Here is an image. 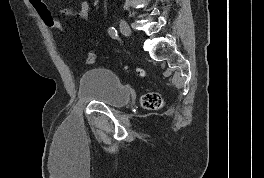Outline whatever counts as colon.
<instances>
[{"mask_svg":"<svg viewBox=\"0 0 264 178\" xmlns=\"http://www.w3.org/2000/svg\"><path fill=\"white\" fill-rule=\"evenodd\" d=\"M29 2L45 26L61 31L63 30L62 24L55 18L44 0H29ZM96 60L97 55L95 53L91 52L86 55L85 62L87 64H93ZM137 74L139 76H144L145 73L143 70L139 69L137 70ZM141 105L147 110H158L163 106V99L160 94L156 92H149L142 96Z\"/></svg>","mask_w":264,"mask_h":178,"instance_id":"1","label":"colon"}]
</instances>
